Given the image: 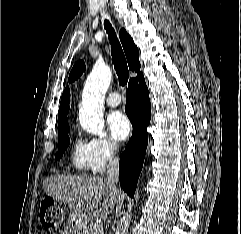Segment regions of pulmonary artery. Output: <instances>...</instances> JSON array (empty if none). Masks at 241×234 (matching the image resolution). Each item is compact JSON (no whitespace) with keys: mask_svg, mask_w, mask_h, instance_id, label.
Here are the masks:
<instances>
[{"mask_svg":"<svg viewBox=\"0 0 241 234\" xmlns=\"http://www.w3.org/2000/svg\"><path fill=\"white\" fill-rule=\"evenodd\" d=\"M106 103L110 107H116L121 103V97L117 92H113L107 97Z\"/></svg>","mask_w":241,"mask_h":234,"instance_id":"obj_1","label":"pulmonary artery"}]
</instances>
